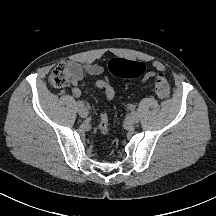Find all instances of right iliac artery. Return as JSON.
<instances>
[{
    "instance_id": "82829eb1",
    "label": "right iliac artery",
    "mask_w": 216,
    "mask_h": 216,
    "mask_svg": "<svg viewBox=\"0 0 216 216\" xmlns=\"http://www.w3.org/2000/svg\"><path fill=\"white\" fill-rule=\"evenodd\" d=\"M77 105H78L79 107H84L85 103H84L83 101H78V102H77Z\"/></svg>"
}]
</instances>
